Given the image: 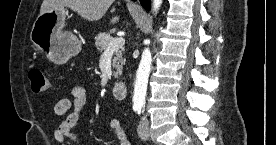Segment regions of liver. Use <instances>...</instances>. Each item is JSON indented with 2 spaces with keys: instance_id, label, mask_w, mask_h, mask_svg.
Instances as JSON below:
<instances>
[{
  "instance_id": "liver-1",
  "label": "liver",
  "mask_w": 276,
  "mask_h": 145,
  "mask_svg": "<svg viewBox=\"0 0 276 145\" xmlns=\"http://www.w3.org/2000/svg\"><path fill=\"white\" fill-rule=\"evenodd\" d=\"M114 0H43L40 14L54 7H68L77 12L83 19L88 21H98L101 19ZM119 21V17H114L111 23Z\"/></svg>"
}]
</instances>
